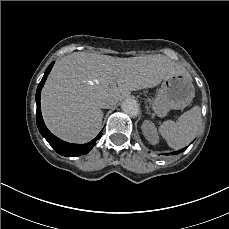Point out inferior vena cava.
Listing matches in <instances>:
<instances>
[{"label":"inferior vena cava","instance_id":"obj_1","mask_svg":"<svg viewBox=\"0 0 229 229\" xmlns=\"http://www.w3.org/2000/svg\"><path fill=\"white\" fill-rule=\"evenodd\" d=\"M101 107L102 108H111V105L107 101H104L103 103H101Z\"/></svg>","mask_w":229,"mask_h":229}]
</instances>
